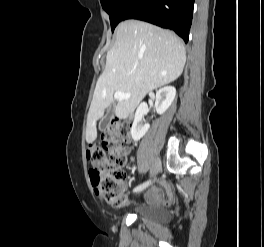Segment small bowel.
<instances>
[{
    "instance_id": "c3829d8e",
    "label": "small bowel",
    "mask_w": 264,
    "mask_h": 247,
    "mask_svg": "<svg viewBox=\"0 0 264 247\" xmlns=\"http://www.w3.org/2000/svg\"><path fill=\"white\" fill-rule=\"evenodd\" d=\"M146 200L151 203L156 202H169L171 200V193L164 194L163 190L159 187L151 188L146 194Z\"/></svg>"
}]
</instances>
